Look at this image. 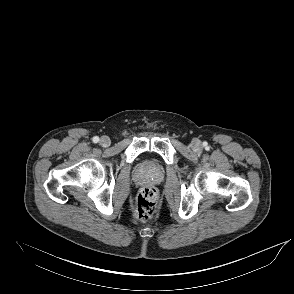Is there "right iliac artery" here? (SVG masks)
Returning <instances> with one entry per match:
<instances>
[{
	"label": "right iliac artery",
	"instance_id": "1",
	"mask_svg": "<svg viewBox=\"0 0 294 294\" xmlns=\"http://www.w3.org/2000/svg\"><path fill=\"white\" fill-rule=\"evenodd\" d=\"M93 142H94V143L99 142V137H98V136L93 137Z\"/></svg>",
	"mask_w": 294,
	"mask_h": 294
}]
</instances>
